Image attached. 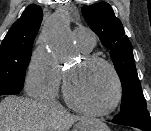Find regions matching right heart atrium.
Here are the masks:
<instances>
[{
    "instance_id": "1",
    "label": "right heart atrium",
    "mask_w": 151,
    "mask_h": 131,
    "mask_svg": "<svg viewBox=\"0 0 151 131\" xmlns=\"http://www.w3.org/2000/svg\"><path fill=\"white\" fill-rule=\"evenodd\" d=\"M62 79V71L51 55L37 48L32 53L27 67L25 88L37 99L54 96Z\"/></svg>"
}]
</instances>
